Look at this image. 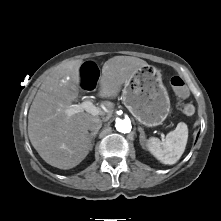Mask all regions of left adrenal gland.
Listing matches in <instances>:
<instances>
[{"mask_svg":"<svg viewBox=\"0 0 221 221\" xmlns=\"http://www.w3.org/2000/svg\"><path fill=\"white\" fill-rule=\"evenodd\" d=\"M138 131L140 132L139 136L140 144L144 148V142L146 141L144 130L141 127H138Z\"/></svg>","mask_w":221,"mask_h":221,"instance_id":"a2214340","label":"left adrenal gland"}]
</instances>
